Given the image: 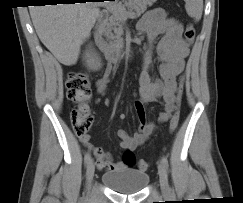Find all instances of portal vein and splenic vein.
<instances>
[{
	"label": "portal vein and splenic vein",
	"instance_id": "portal-vein-and-splenic-vein-1",
	"mask_svg": "<svg viewBox=\"0 0 243 203\" xmlns=\"http://www.w3.org/2000/svg\"><path fill=\"white\" fill-rule=\"evenodd\" d=\"M103 4V3H101ZM107 8H109L111 11L118 12L123 19L129 18H135V14L133 12H127L125 8L120 7L117 4H103Z\"/></svg>",
	"mask_w": 243,
	"mask_h": 203
}]
</instances>
